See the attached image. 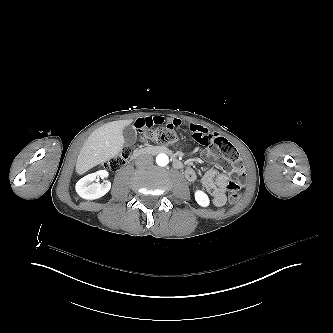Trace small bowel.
Instances as JSON below:
<instances>
[{"label": "small bowel", "instance_id": "small-bowel-1", "mask_svg": "<svg viewBox=\"0 0 333 333\" xmlns=\"http://www.w3.org/2000/svg\"><path fill=\"white\" fill-rule=\"evenodd\" d=\"M164 124L167 127H176L181 125L182 122L179 119L166 120L161 116H151L137 119L134 123V125L139 129ZM191 128L195 133L207 134V131L203 127L192 126ZM212 153L213 151H208V155H211ZM185 177L188 181L195 182L197 174L192 168L188 167L185 170ZM201 182L205 191L211 197L214 205L220 207L226 203L225 189L229 182L228 174L211 168L204 173Z\"/></svg>", "mask_w": 333, "mask_h": 333}]
</instances>
